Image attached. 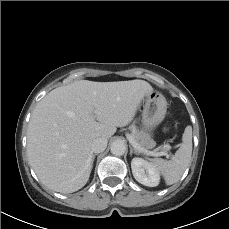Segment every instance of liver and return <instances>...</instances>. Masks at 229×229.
Here are the masks:
<instances>
[{
	"mask_svg": "<svg viewBox=\"0 0 229 229\" xmlns=\"http://www.w3.org/2000/svg\"><path fill=\"white\" fill-rule=\"evenodd\" d=\"M153 91L144 80L75 81L49 92L28 125L27 154L39 180L60 193L81 189L92 170L91 143L128 125Z\"/></svg>",
	"mask_w": 229,
	"mask_h": 229,
	"instance_id": "1",
	"label": "liver"
}]
</instances>
